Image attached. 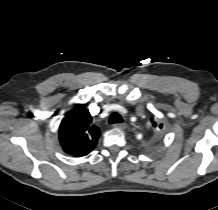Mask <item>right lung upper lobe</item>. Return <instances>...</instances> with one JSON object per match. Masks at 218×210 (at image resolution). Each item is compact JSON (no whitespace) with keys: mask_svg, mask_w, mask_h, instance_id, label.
<instances>
[{"mask_svg":"<svg viewBox=\"0 0 218 210\" xmlns=\"http://www.w3.org/2000/svg\"><path fill=\"white\" fill-rule=\"evenodd\" d=\"M100 130L92 124V117L83 105H76L63 118L59 127V140L64 151L81 157L96 146Z\"/></svg>","mask_w":218,"mask_h":210,"instance_id":"right-lung-upper-lobe-1","label":"right lung upper lobe"}]
</instances>
